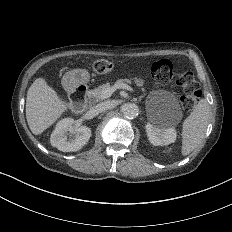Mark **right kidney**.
Returning a JSON list of instances; mask_svg holds the SVG:
<instances>
[{
  "instance_id": "right-kidney-1",
  "label": "right kidney",
  "mask_w": 232,
  "mask_h": 232,
  "mask_svg": "<svg viewBox=\"0 0 232 232\" xmlns=\"http://www.w3.org/2000/svg\"><path fill=\"white\" fill-rule=\"evenodd\" d=\"M91 130L87 126L75 127L72 118L60 120L51 134V145L62 152L80 150L90 139Z\"/></svg>"
}]
</instances>
